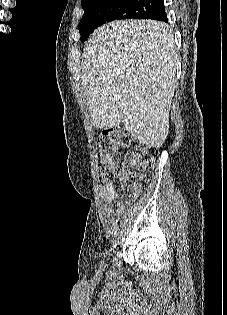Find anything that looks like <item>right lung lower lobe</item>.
<instances>
[{
  "mask_svg": "<svg viewBox=\"0 0 227 315\" xmlns=\"http://www.w3.org/2000/svg\"><path fill=\"white\" fill-rule=\"evenodd\" d=\"M151 13H152L151 19L165 21V22H167L168 20L163 0L159 1V4L156 6V8H154V11H152Z\"/></svg>",
  "mask_w": 227,
  "mask_h": 315,
  "instance_id": "1",
  "label": "right lung lower lobe"
}]
</instances>
